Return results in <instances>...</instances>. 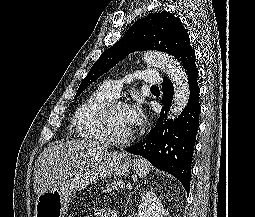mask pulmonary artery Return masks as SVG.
Wrapping results in <instances>:
<instances>
[{
  "label": "pulmonary artery",
  "mask_w": 255,
  "mask_h": 217,
  "mask_svg": "<svg viewBox=\"0 0 255 217\" xmlns=\"http://www.w3.org/2000/svg\"><path fill=\"white\" fill-rule=\"evenodd\" d=\"M141 79L144 83L149 85H157L160 83V77L150 70H143L140 74ZM103 87L107 92L112 95L114 98L117 97L120 93L122 82L121 79H109L104 82Z\"/></svg>",
  "instance_id": "e3ab8cb5"
}]
</instances>
